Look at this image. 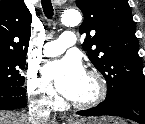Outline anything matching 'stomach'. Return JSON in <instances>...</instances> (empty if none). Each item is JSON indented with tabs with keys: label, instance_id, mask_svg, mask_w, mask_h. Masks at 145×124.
<instances>
[{
	"label": "stomach",
	"instance_id": "1",
	"mask_svg": "<svg viewBox=\"0 0 145 124\" xmlns=\"http://www.w3.org/2000/svg\"><path fill=\"white\" fill-rule=\"evenodd\" d=\"M70 124H120L117 119L102 117L100 119H79L72 121Z\"/></svg>",
	"mask_w": 145,
	"mask_h": 124
}]
</instances>
